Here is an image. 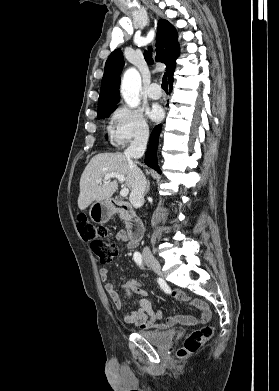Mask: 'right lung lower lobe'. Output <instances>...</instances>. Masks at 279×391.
I'll return each instance as SVG.
<instances>
[{"instance_id":"obj_1","label":"right lung lower lobe","mask_w":279,"mask_h":391,"mask_svg":"<svg viewBox=\"0 0 279 391\" xmlns=\"http://www.w3.org/2000/svg\"><path fill=\"white\" fill-rule=\"evenodd\" d=\"M173 81L169 82V90H172ZM161 131V126L157 125L150 136L149 146L145 155V163L156 171L160 172L157 165L156 151L158 146L159 134Z\"/></svg>"}]
</instances>
